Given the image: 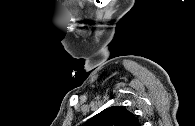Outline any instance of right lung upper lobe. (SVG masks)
Instances as JSON below:
<instances>
[{"instance_id": "cb5924a9", "label": "right lung upper lobe", "mask_w": 195, "mask_h": 126, "mask_svg": "<svg viewBox=\"0 0 195 126\" xmlns=\"http://www.w3.org/2000/svg\"><path fill=\"white\" fill-rule=\"evenodd\" d=\"M84 126H141V124L125 107L113 106L89 119Z\"/></svg>"}]
</instances>
